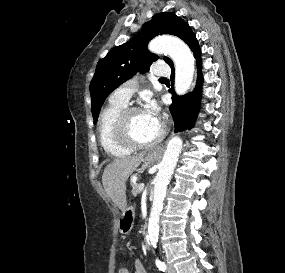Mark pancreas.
Returning a JSON list of instances; mask_svg holds the SVG:
<instances>
[{"label":"pancreas","instance_id":"1","mask_svg":"<svg viewBox=\"0 0 285 273\" xmlns=\"http://www.w3.org/2000/svg\"><path fill=\"white\" fill-rule=\"evenodd\" d=\"M131 187H132V195L134 196V197H136L139 193H140V191L141 190H139V183H137V182H134V181H131Z\"/></svg>","mask_w":285,"mask_h":273}]
</instances>
